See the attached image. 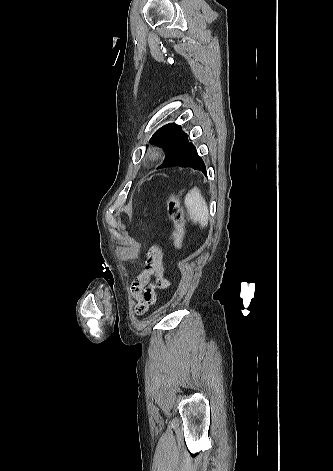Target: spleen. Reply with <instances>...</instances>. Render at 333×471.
<instances>
[{"label":"spleen","instance_id":"spleen-1","mask_svg":"<svg viewBox=\"0 0 333 471\" xmlns=\"http://www.w3.org/2000/svg\"><path fill=\"white\" fill-rule=\"evenodd\" d=\"M185 206L191 220L205 227L208 224L209 211L205 199L196 187L191 189L185 197Z\"/></svg>","mask_w":333,"mask_h":471}]
</instances>
